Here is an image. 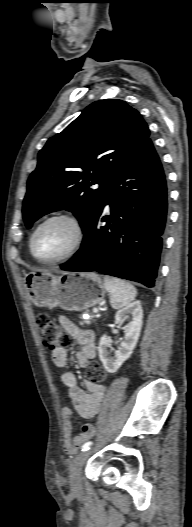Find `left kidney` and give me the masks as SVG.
<instances>
[{
  "mask_svg": "<svg viewBox=\"0 0 192 527\" xmlns=\"http://www.w3.org/2000/svg\"><path fill=\"white\" fill-rule=\"evenodd\" d=\"M128 316H132V322L125 330L124 340L121 342L119 349L115 352L114 357L110 356V351L108 350L110 343L107 335L104 334L100 338L98 347L99 358L105 370L109 373H115L131 356L136 347L143 324V310L139 301H135L119 310L115 315L114 323L119 324Z\"/></svg>",
  "mask_w": 192,
  "mask_h": 527,
  "instance_id": "5707ae66",
  "label": "left kidney"
}]
</instances>
